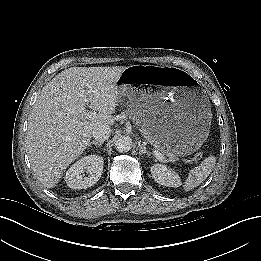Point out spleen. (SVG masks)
I'll use <instances>...</instances> for the list:
<instances>
[{"label": "spleen", "mask_w": 261, "mask_h": 261, "mask_svg": "<svg viewBox=\"0 0 261 261\" xmlns=\"http://www.w3.org/2000/svg\"><path fill=\"white\" fill-rule=\"evenodd\" d=\"M216 164L215 156L205 158L201 164L193 168L183 184L184 191H190L199 186L212 172Z\"/></svg>", "instance_id": "obj_1"}]
</instances>
